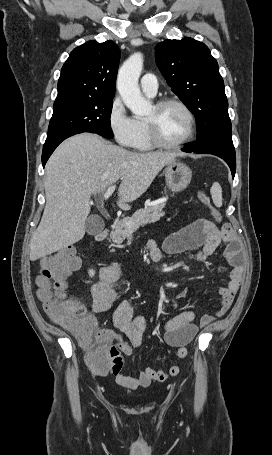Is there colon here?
I'll return each instance as SVG.
<instances>
[{
    "mask_svg": "<svg viewBox=\"0 0 272 455\" xmlns=\"http://www.w3.org/2000/svg\"><path fill=\"white\" fill-rule=\"evenodd\" d=\"M198 197L219 221L220 213L212 206L210 198L203 192H200ZM78 266L79 259L72 246L64 247L47 257L42 262L36 279L38 297L46 314L79 339L86 351V360L90 367L97 371H120L121 350L95 335L94 319L85 313V308L79 301L67 296L68 278ZM182 353L188 354L184 351Z\"/></svg>",
    "mask_w": 272,
    "mask_h": 455,
    "instance_id": "colon-1",
    "label": "colon"
}]
</instances>
